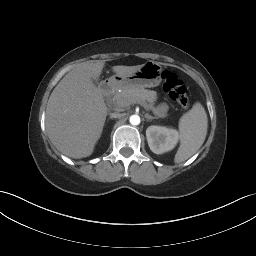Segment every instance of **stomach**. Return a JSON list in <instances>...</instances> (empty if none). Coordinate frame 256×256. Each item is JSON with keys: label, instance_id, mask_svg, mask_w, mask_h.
Returning <instances> with one entry per match:
<instances>
[{"label": "stomach", "instance_id": "0dacf381", "mask_svg": "<svg viewBox=\"0 0 256 256\" xmlns=\"http://www.w3.org/2000/svg\"><path fill=\"white\" fill-rule=\"evenodd\" d=\"M161 81L162 67L155 61H147L132 74H115L110 77V82L118 88H152L158 86Z\"/></svg>", "mask_w": 256, "mask_h": 256}]
</instances>
